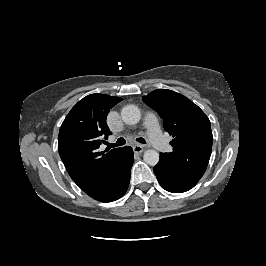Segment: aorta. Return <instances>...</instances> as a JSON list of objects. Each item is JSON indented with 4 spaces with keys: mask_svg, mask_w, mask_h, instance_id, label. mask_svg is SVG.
<instances>
[{
    "mask_svg": "<svg viewBox=\"0 0 266 266\" xmlns=\"http://www.w3.org/2000/svg\"><path fill=\"white\" fill-rule=\"evenodd\" d=\"M122 120L129 125L137 124L141 119V112L135 105H126L121 111ZM159 153L149 149L144 152L143 159L150 166H155L159 162Z\"/></svg>",
    "mask_w": 266,
    "mask_h": 266,
    "instance_id": "aorta-1",
    "label": "aorta"
}]
</instances>
